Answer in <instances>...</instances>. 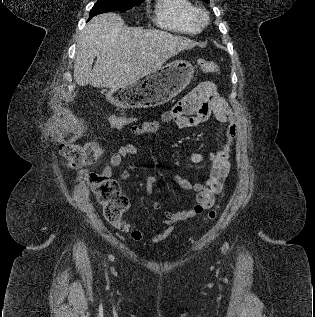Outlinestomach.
I'll return each instance as SVG.
<instances>
[{
    "instance_id": "stomach-1",
    "label": "stomach",
    "mask_w": 315,
    "mask_h": 317,
    "mask_svg": "<svg viewBox=\"0 0 315 317\" xmlns=\"http://www.w3.org/2000/svg\"><path fill=\"white\" fill-rule=\"evenodd\" d=\"M193 74L194 67L189 61L175 60L132 84H122L121 91H114V98H125L123 108L159 106L181 93Z\"/></svg>"
}]
</instances>
